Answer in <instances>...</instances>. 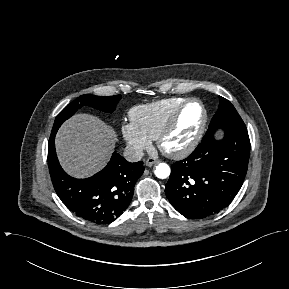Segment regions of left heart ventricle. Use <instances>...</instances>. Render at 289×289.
<instances>
[{
	"mask_svg": "<svg viewBox=\"0 0 289 289\" xmlns=\"http://www.w3.org/2000/svg\"><path fill=\"white\" fill-rule=\"evenodd\" d=\"M202 118L201 107L197 103L189 104L183 111L176 129L166 140V147L177 149L188 144L196 135Z\"/></svg>",
	"mask_w": 289,
	"mask_h": 289,
	"instance_id": "b2bd125f",
	"label": "left heart ventricle"
}]
</instances>
